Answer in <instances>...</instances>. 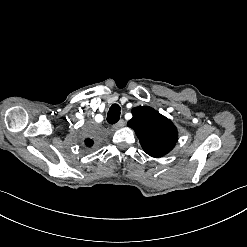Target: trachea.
Masks as SVG:
<instances>
[{"instance_id": "obj_1", "label": "trachea", "mask_w": 247, "mask_h": 247, "mask_svg": "<svg viewBox=\"0 0 247 247\" xmlns=\"http://www.w3.org/2000/svg\"><path fill=\"white\" fill-rule=\"evenodd\" d=\"M120 118V106L118 104H113L108 112L107 121L109 124H115Z\"/></svg>"}]
</instances>
